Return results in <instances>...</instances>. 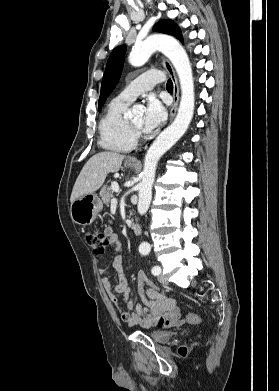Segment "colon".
<instances>
[{"mask_svg":"<svg viewBox=\"0 0 279 391\" xmlns=\"http://www.w3.org/2000/svg\"><path fill=\"white\" fill-rule=\"evenodd\" d=\"M85 240L95 254L102 255L106 252L108 247V236L105 234V232L98 230L88 231L85 234ZM185 319L190 323L197 324L201 322L200 316L193 313L187 314ZM180 353L185 355L187 353V348L182 347L180 349Z\"/></svg>","mask_w":279,"mask_h":391,"instance_id":"obj_1","label":"colon"}]
</instances>
